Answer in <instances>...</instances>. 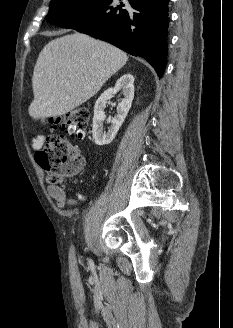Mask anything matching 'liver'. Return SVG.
I'll return each instance as SVG.
<instances>
[{
  "label": "liver",
  "mask_w": 233,
  "mask_h": 328,
  "mask_svg": "<svg viewBox=\"0 0 233 328\" xmlns=\"http://www.w3.org/2000/svg\"><path fill=\"white\" fill-rule=\"evenodd\" d=\"M128 60L122 50L82 33L50 41L32 76L33 119L64 115L93 97Z\"/></svg>",
  "instance_id": "6515ba94"
}]
</instances>
